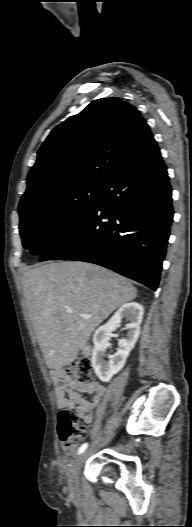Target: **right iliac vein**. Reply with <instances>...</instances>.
<instances>
[{"label":"right iliac vein","mask_w":192,"mask_h":527,"mask_svg":"<svg viewBox=\"0 0 192 527\" xmlns=\"http://www.w3.org/2000/svg\"><path fill=\"white\" fill-rule=\"evenodd\" d=\"M87 454L88 452H84L82 453L79 457H77L71 468H70V471H69V474H68V483H69V487H70V490L72 492H77L78 491V488H79V472H80V469L83 465V463L85 462L86 458H87Z\"/></svg>","instance_id":"obj_1"}]
</instances>
